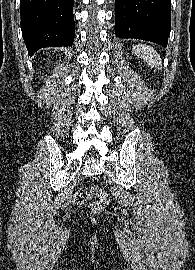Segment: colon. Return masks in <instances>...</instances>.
Wrapping results in <instances>:
<instances>
[{"label": "colon", "instance_id": "1", "mask_svg": "<svg viewBox=\"0 0 195 270\" xmlns=\"http://www.w3.org/2000/svg\"><path fill=\"white\" fill-rule=\"evenodd\" d=\"M95 195L100 198V202H93L90 209L93 213H100L102 211V203L109 202V196L107 193L100 191L97 187H91L89 190H79L74 194V202L78 205L84 204L90 197Z\"/></svg>", "mask_w": 195, "mask_h": 270}]
</instances>
